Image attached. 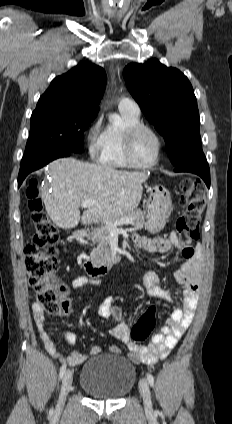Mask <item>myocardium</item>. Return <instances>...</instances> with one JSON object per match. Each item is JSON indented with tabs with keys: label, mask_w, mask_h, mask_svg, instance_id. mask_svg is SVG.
<instances>
[{
	"label": "myocardium",
	"mask_w": 232,
	"mask_h": 424,
	"mask_svg": "<svg viewBox=\"0 0 232 424\" xmlns=\"http://www.w3.org/2000/svg\"><path fill=\"white\" fill-rule=\"evenodd\" d=\"M142 131L150 132L155 137V139L157 141L156 157L151 163H148V164H139L135 161V159L133 157L134 141H135L136 137L138 136V134ZM162 147H163V143H162V139H161L160 135L158 134V132L154 128H152L149 125H146V124H143V123L136 124V125H133L130 128H128L126 133H125L124 154H125V158H126L127 162L130 164L131 167L138 168V169H150V168L156 166L158 164L159 160H160V157H161Z\"/></svg>",
	"instance_id": "1"
}]
</instances>
